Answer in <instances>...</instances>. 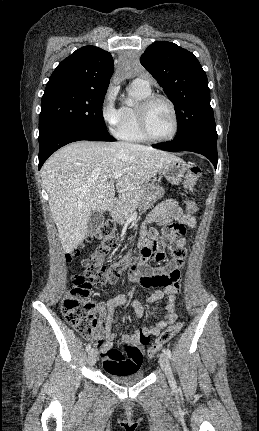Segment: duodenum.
Returning <instances> with one entry per match:
<instances>
[{
	"instance_id": "1",
	"label": "duodenum",
	"mask_w": 259,
	"mask_h": 431,
	"mask_svg": "<svg viewBox=\"0 0 259 431\" xmlns=\"http://www.w3.org/2000/svg\"><path fill=\"white\" fill-rule=\"evenodd\" d=\"M118 206H119V201L116 199L113 200L110 206L111 211L117 210Z\"/></svg>"
}]
</instances>
